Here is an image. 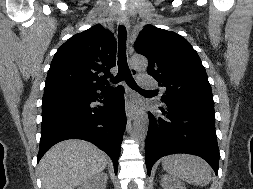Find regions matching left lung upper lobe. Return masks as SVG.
Listing matches in <instances>:
<instances>
[{"label":"left lung upper lobe","mask_w":253,"mask_h":189,"mask_svg":"<svg viewBox=\"0 0 253 189\" xmlns=\"http://www.w3.org/2000/svg\"><path fill=\"white\" fill-rule=\"evenodd\" d=\"M134 48L148 59V73L166 88L161 101H176L214 111L206 70L191 44L179 34L146 25Z\"/></svg>","instance_id":"1"}]
</instances>
